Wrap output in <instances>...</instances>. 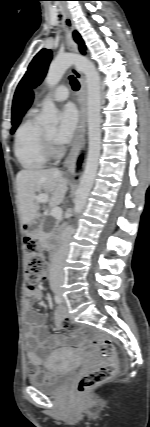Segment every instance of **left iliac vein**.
<instances>
[{
	"label": "left iliac vein",
	"mask_w": 150,
	"mask_h": 427,
	"mask_svg": "<svg viewBox=\"0 0 150 427\" xmlns=\"http://www.w3.org/2000/svg\"><path fill=\"white\" fill-rule=\"evenodd\" d=\"M60 298H61L62 302H65V300H64L63 296L61 295V293H60Z\"/></svg>",
	"instance_id": "left-iliac-vein-1"
}]
</instances>
